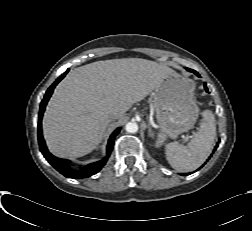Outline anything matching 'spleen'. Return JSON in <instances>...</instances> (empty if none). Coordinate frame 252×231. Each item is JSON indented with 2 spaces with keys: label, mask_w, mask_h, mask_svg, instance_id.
<instances>
[{
  "label": "spleen",
  "mask_w": 252,
  "mask_h": 231,
  "mask_svg": "<svg viewBox=\"0 0 252 231\" xmlns=\"http://www.w3.org/2000/svg\"><path fill=\"white\" fill-rule=\"evenodd\" d=\"M202 116L198 131L186 146L177 142L166 145V159L177 171L189 172L197 169L212 151L216 137L215 117L210 110H205Z\"/></svg>",
  "instance_id": "obj_1"
}]
</instances>
